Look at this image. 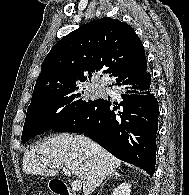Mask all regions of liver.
I'll return each mask as SVG.
<instances>
[{"instance_id": "liver-1", "label": "liver", "mask_w": 189, "mask_h": 195, "mask_svg": "<svg viewBox=\"0 0 189 195\" xmlns=\"http://www.w3.org/2000/svg\"><path fill=\"white\" fill-rule=\"evenodd\" d=\"M120 164L119 159L89 138L69 133L49 138L23 155V172L26 174L58 175L51 165L72 170L83 185L84 195H90Z\"/></svg>"}]
</instances>
